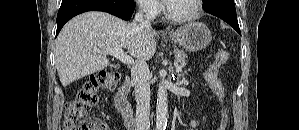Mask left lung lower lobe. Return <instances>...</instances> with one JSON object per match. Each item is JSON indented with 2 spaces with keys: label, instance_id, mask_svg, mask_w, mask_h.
<instances>
[{
  "label": "left lung lower lobe",
  "instance_id": "1",
  "mask_svg": "<svg viewBox=\"0 0 299 130\" xmlns=\"http://www.w3.org/2000/svg\"><path fill=\"white\" fill-rule=\"evenodd\" d=\"M203 5L205 12L221 18L241 35L234 0H206Z\"/></svg>",
  "mask_w": 299,
  "mask_h": 130
}]
</instances>
